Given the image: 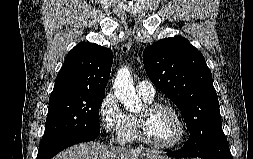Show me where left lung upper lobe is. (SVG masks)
Segmentation results:
<instances>
[{"label":"left lung upper lobe","mask_w":253,"mask_h":159,"mask_svg":"<svg viewBox=\"0 0 253 159\" xmlns=\"http://www.w3.org/2000/svg\"><path fill=\"white\" fill-rule=\"evenodd\" d=\"M143 63L153 84L181 110L189 139H198L204 147L222 130V122L212 74L201 52L183 37L165 38L145 48Z\"/></svg>","instance_id":"1"}]
</instances>
